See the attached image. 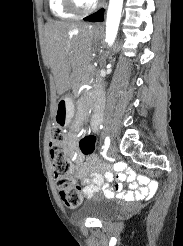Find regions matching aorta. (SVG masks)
I'll return each instance as SVG.
<instances>
[{
	"instance_id": "obj_1",
	"label": "aorta",
	"mask_w": 183,
	"mask_h": 246,
	"mask_svg": "<svg viewBox=\"0 0 183 246\" xmlns=\"http://www.w3.org/2000/svg\"><path fill=\"white\" fill-rule=\"evenodd\" d=\"M123 0H109L106 18V37L105 41L111 46L117 36L121 19Z\"/></svg>"
}]
</instances>
